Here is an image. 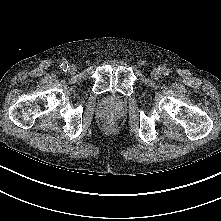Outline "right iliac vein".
I'll return each mask as SVG.
<instances>
[{"label":"right iliac vein","mask_w":221,"mask_h":221,"mask_svg":"<svg viewBox=\"0 0 221 221\" xmlns=\"http://www.w3.org/2000/svg\"><path fill=\"white\" fill-rule=\"evenodd\" d=\"M68 70H69L70 73H75L76 70H77V68H76L75 65L72 64V65L69 66V69H68Z\"/></svg>","instance_id":"right-iliac-vein-1"}]
</instances>
